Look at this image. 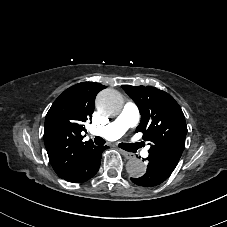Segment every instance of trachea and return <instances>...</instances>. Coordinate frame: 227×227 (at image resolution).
Masks as SVG:
<instances>
[{"label": "trachea", "mask_w": 227, "mask_h": 227, "mask_svg": "<svg viewBox=\"0 0 227 227\" xmlns=\"http://www.w3.org/2000/svg\"><path fill=\"white\" fill-rule=\"evenodd\" d=\"M94 142L96 145L103 146L105 144V139L97 136L94 138ZM118 146L126 151H131V152H135L140 147L139 145L135 146L128 143H119Z\"/></svg>", "instance_id": "1"}]
</instances>
